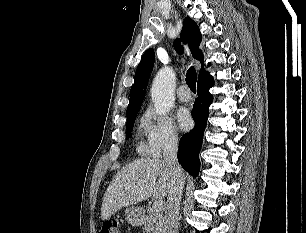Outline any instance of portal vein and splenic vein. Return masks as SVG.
I'll list each match as a JSON object with an SVG mask.
<instances>
[{"label": "portal vein and splenic vein", "instance_id": "portal-vein-and-splenic-vein-1", "mask_svg": "<svg viewBox=\"0 0 306 233\" xmlns=\"http://www.w3.org/2000/svg\"><path fill=\"white\" fill-rule=\"evenodd\" d=\"M162 207H163V201L160 200V199L156 200V201L154 202V204H153V208H154L155 210H161Z\"/></svg>", "mask_w": 306, "mask_h": 233}]
</instances>
